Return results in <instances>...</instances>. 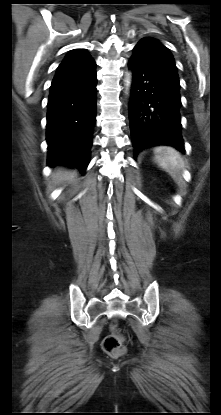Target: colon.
<instances>
[{"mask_svg": "<svg viewBox=\"0 0 221 415\" xmlns=\"http://www.w3.org/2000/svg\"><path fill=\"white\" fill-rule=\"evenodd\" d=\"M113 332L108 335L104 340L102 347L104 351L110 355H118L123 351L122 336L116 332L115 324H112Z\"/></svg>", "mask_w": 221, "mask_h": 415, "instance_id": "1", "label": "colon"}]
</instances>
